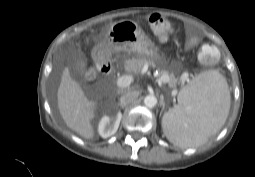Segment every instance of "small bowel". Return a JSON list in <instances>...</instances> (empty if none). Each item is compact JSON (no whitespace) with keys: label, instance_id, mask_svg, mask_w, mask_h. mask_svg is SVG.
<instances>
[{"label":"small bowel","instance_id":"obj_1","mask_svg":"<svg viewBox=\"0 0 255 177\" xmlns=\"http://www.w3.org/2000/svg\"><path fill=\"white\" fill-rule=\"evenodd\" d=\"M197 42V38L193 37L191 38L188 43H187V47L190 48L192 45H194Z\"/></svg>","mask_w":255,"mask_h":177}]
</instances>
